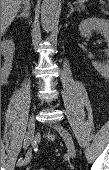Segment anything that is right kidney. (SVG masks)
<instances>
[{
    "label": "right kidney",
    "mask_w": 109,
    "mask_h": 170,
    "mask_svg": "<svg viewBox=\"0 0 109 170\" xmlns=\"http://www.w3.org/2000/svg\"><path fill=\"white\" fill-rule=\"evenodd\" d=\"M1 50L5 56V62L1 68V76L3 81H5L12 69L13 54L15 50V45L12 40H4L1 42Z\"/></svg>",
    "instance_id": "right-kidney-1"
}]
</instances>
